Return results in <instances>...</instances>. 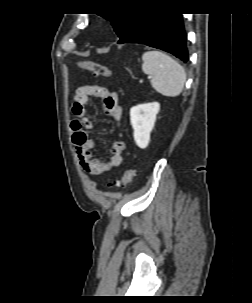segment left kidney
I'll use <instances>...</instances> for the list:
<instances>
[{
    "instance_id": "obj_1",
    "label": "left kidney",
    "mask_w": 252,
    "mask_h": 303,
    "mask_svg": "<svg viewBox=\"0 0 252 303\" xmlns=\"http://www.w3.org/2000/svg\"><path fill=\"white\" fill-rule=\"evenodd\" d=\"M160 110L158 102L145 103L130 109V121L134 130L136 145L145 149L150 142V133L154 127L156 116Z\"/></svg>"
}]
</instances>
